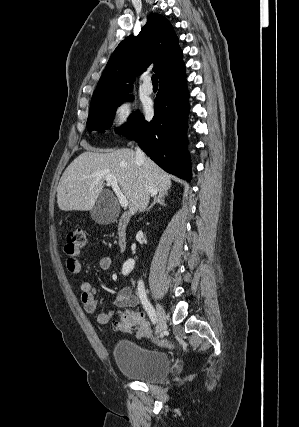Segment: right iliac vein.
<instances>
[{
  "label": "right iliac vein",
  "mask_w": 299,
  "mask_h": 427,
  "mask_svg": "<svg viewBox=\"0 0 299 427\" xmlns=\"http://www.w3.org/2000/svg\"><path fill=\"white\" fill-rule=\"evenodd\" d=\"M157 309V326H156V334H159L165 329L166 326V314L163 309V307L157 303L156 304Z\"/></svg>",
  "instance_id": "obj_1"
}]
</instances>
